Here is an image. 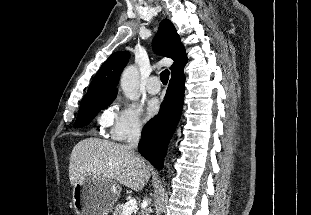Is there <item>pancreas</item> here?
Segmentation results:
<instances>
[{"label":"pancreas","mask_w":311,"mask_h":215,"mask_svg":"<svg viewBox=\"0 0 311 215\" xmlns=\"http://www.w3.org/2000/svg\"><path fill=\"white\" fill-rule=\"evenodd\" d=\"M123 207H124V204H117L113 210H112V214L113 215H121L122 211H123Z\"/></svg>","instance_id":"cf45deb5"}]
</instances>
